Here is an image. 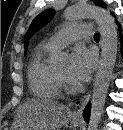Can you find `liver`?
Returning <instances> with one entry per match:
<instances>
[{"mask_svg":"<svg viewBox=\"0 0 123 130\" xmlns=\"http://www.w3.org/2000/svg\"><path fill=\"white\" fill-rule=\"evenodd\" d=\"M70 117L71 111L64 104L30 99L20 107L14 130H60Z\"/></svg>","mask_w":123,"mask_h":130,"instance_id":"obj_1","label":"liver"}]
</instances>
